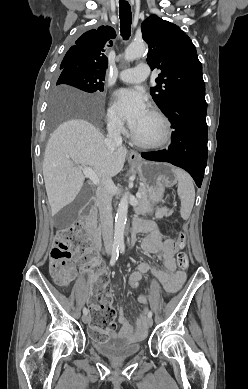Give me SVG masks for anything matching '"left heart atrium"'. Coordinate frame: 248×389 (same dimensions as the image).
<instances>
[{"label":"left heart atrium","mask_w":248,"mask_h":389,"mask_svg":"<svg viewBox=\"0 0 248 389\" xmlns=\"http://www.w3.org/2000/svg\"><path fill=\"white\" fill-rule=\"evenodd\" d=\"M114 99L121 115L133 129L146 115L148 107L144 95L131 88L119 89L114 93Z\"/></svg>","instance_id":"39dd6f15"}]
</instances>
